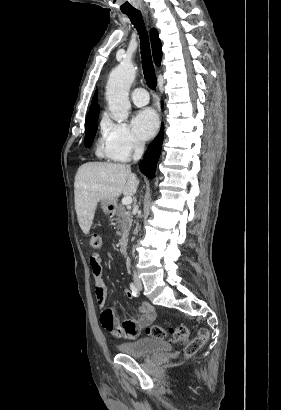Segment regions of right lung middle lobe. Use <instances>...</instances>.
I'll return each instance as SVG.
<instances>
[{"instance_id":"obj_1","label":"right lung middle lobe","mask_w":281,"mask_h":410,"mask_svg":"<svg viewBox=\"0 0 281 410\" xmlns=\"http://www.w3.org/2000/svg\"><path fill=\"white\" fill-rule=\"evenodd\" d=\"M97 119H98V116H95L90 119H86V123H85V129H86L85 146L86 147L91 145L95 137L97 127H98Z\"/></svg>"}]
</instances>
